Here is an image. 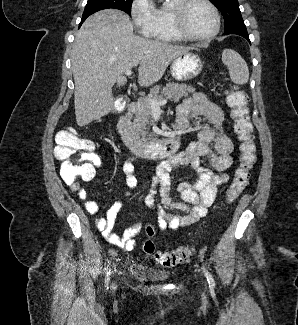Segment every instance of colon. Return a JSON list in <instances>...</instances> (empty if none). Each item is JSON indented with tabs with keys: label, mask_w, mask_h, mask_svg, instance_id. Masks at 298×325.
Listing matches in <instances>:
<instances>
[{
	"label": "colon",
	"mask_w": 298,
	"mask_h": 325,
	"mask_svg": "<svg viewBox=\"0 0 298 325\" xmlns=\"http://www.w3.org/2000/svg\"><path fill=\"white\" fill-rule=\"evenodd\" d=\"M227 104L231 109L234 121V131L240 141L239 164L226 192L228 203L234 202L246 188L251 171L256 162V145L253 137V125L250 120L248 96L233 88L228 92ZM56 158L61 162V177L68 185L87 181L94 177L99 158L92 142L81 137L73 129L61 131L57 135L55 148ZM148 239L143 243L146 254L154 257L156 262L164 267H173L189 260L192 249L186 246L177 247L169 251L156 249L152 237L155 229L152 225L146 227Z\"/></svg>",
	"instance_id": "1"
}]
</instances>
